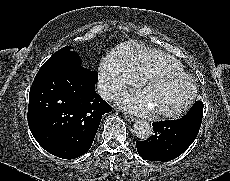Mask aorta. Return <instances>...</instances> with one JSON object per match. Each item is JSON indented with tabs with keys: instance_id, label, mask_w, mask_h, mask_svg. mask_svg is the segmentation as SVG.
Listing matches in <instances>:
<instances>
[{
	"instance_id": "1",
	"label": "aorta",
	"mask_w": 230,
	"mask_h": 181,
	"mask_svg": "<svg viewBox=\"0 0 230 181\" xmlns=\"http://www.w3.org/2000/svg\"><path fill=\"white\" fill-rule=\"evenodd\" d=\"M133 127L135 135L142 141L148 140L152 135V127L146 120H137Z\"/></svg>"
}]
</instances>
